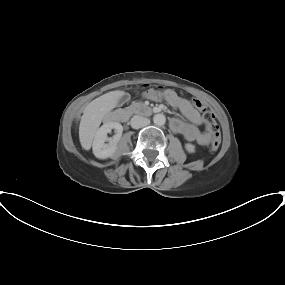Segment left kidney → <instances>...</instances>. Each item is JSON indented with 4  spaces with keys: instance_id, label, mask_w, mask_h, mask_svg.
<instances>
[{
    "instance_id": "obj_1",
    "label": "left kidney",
    "mask_w": 285,
    "mask_h": 285,
    "mask_svg": "<svg viewBox=\"0 0 285 285\" xmlns=\"http://www.w3.org/2000/svg\"><path fill=\"white\" fill-rule=\"evenodd\" d=\"M185 149L189 153L195 152V146L193 144H191V143L185 144Z\"/></svg>"
}]
</instances>
